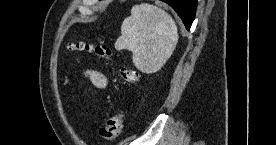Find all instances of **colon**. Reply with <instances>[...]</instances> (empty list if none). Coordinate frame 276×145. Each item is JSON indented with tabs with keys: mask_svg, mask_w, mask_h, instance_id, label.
Returning a JSON list of instances; mask_svg holds the SVG:
<instances>
[{
	"mask_svg": "<svg viewBox=\"0 0 276 145\" xmlns=\"http://www.w3.org/2000/svg\"><path fill=\"white\" fill-rule=\"evenodd\" d=\"M72 50L87 52L95 55L99 60H108L114 57L115 53L105 45L90 44L78 42L70 46ZM122 80L127 84H135L139 79V74L136 70L121 66L119 69ZM124 125V114L117 112L108 117L105 124L99 129L100 137L105 141H113L119 137Z\"/></svg>",
	"mask_w": 276,
	"mask_h": 145,
	"instance_id": "5ec220e1",
	"label": "colon"
}]
</instances>
